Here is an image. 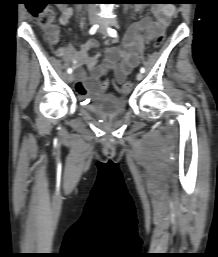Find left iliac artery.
Listing matches in <instances>:
<instances>
[{
	"instance_id": "1",
	"label": "left iliac artery",
	"mask_w": 218,
	"mask_h": 257,
	"mask_svg": "<svg viewBox=\"0 0 218 257\" xmlns=\"http://www.w3.org/2000/svg\"><path fill=\"white\" fill-rule=\"evenodd\" d=\"M108 33H109V35H110L111 37H114V38H116V37L118 36L116 30H114V29H112V28H110V27L108 28ZM140 71H141L142 73H144V72H145L144 67H142V68L140 69Z\"/></svg>"
}]
</instances>
